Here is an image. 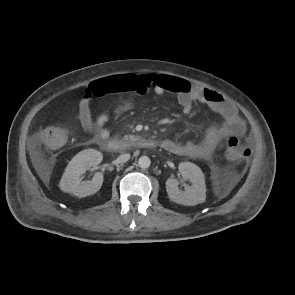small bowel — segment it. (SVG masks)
I'll list each match as a JSON object with an SVG mask.
<instances>
[{
	"mask_svg": "<svg viewBox=\"0 0 295 295\" xmlns=\"http://www.w3.org/2000/svg\"><path fill=\"white\" fill-rule=\"evenodd\" d=\"M153 91L156 94L171 92L176 94L184 114L192 111L193 104L200 102L218 113L223 121L210 127L204 138L197 143H179L171 139L161 142V147L171 153L207 160L211 158L222 143L230 137H240L246 131V125L237 109L216 91L191 85L188 81L168 75H114L95 80L87 85L79 102L78 115L82 129L94 134L97 141L107 140L110 131L107 122L111 117L121 116L131 111L136 100L124 101L111 111L99 115L95 120L91 114V101L112 93L133 92L141 97Z\"/></svg>",
	"mask_w": 295,
	"mask_h": 295,
	"instance_id": "1",
	"label": "small bowel"
}]
</instances>
